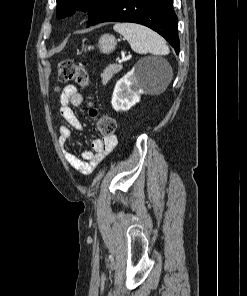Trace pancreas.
Here are the masks:
<instances>
[{
    "label": "pancreas",
    "mask_w": 247,
    "mask_h": 296,
    "mask_svg": "<svg viewBox=\"0 0 247 296\" xmlns=\"http://www.w3.org/2000/svg\"><path fill=\"white\" fill-rule=\"evenodd\" d=\"M122 70L121 65L111 64L108 65L101 73L102 83L105 85L112 77Z\"/></svg>",
    "instance_id": "cf45deb5"
}]
</instances>
